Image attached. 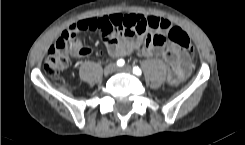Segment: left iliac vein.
I'll return each mask as SVG.
<instances>
[{
	"mask_svg": "<svg viewBox=\"0 0 245 145\" xmlns=\"http://www.w3.org/2000/svg\"><path fill=\"white\" fill-rule=\"evenodd\" d=\"M117 71H119V72H125V73H130L132 71V68L130 66H124L122 68H117Z\"/></svg>",
	"mask_w": 245,
	"mask_h": 145,
	"instance_id": "1",
	"label": "left iliac vein"
}]
</instances>
